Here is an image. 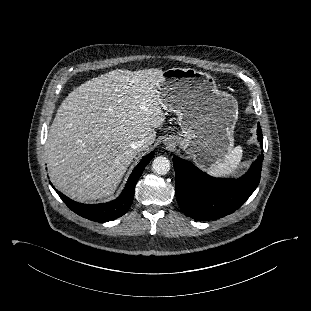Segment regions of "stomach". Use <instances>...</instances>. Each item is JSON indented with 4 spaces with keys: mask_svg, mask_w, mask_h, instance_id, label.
Here are the masks:
<instances>
[{
    "mask_svg": "<svg viewBox=\"0 0 311 311\" xmlns=\"http://www.w3.org/2000/svg\"><path fill=\"white\" fill-rule=\"evenodd\" d=\"M161 107L178 116L184 133L177 144L195 163L209 169L232 150L238 104L221 92L208 73L191 68L165 70L158 80Z\"/></svg>",
    "mask_w": 311,
    "mask_h": 311,
    "instance_id": "obj_1",
    "label": "stomach"
}]
</instances>
